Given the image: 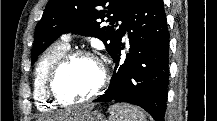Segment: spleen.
<instances>
[{"mask_svg":"<svg viewBox=\"0 0 217 121\" xmlns=\"http://www.w3.org/2000/svg\"><path fill=\"white\" fill-rule=\"evenodd\" d=\"M110 121H146L143 112L130 104L117 103L109 108Z\"/></svg>","mask_w":217,"mask_h":121,"instance_id":"1","label":"spleen"}]
</instances>
